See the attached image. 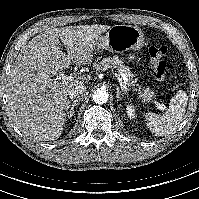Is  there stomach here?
<instances>
[{
	"mask_svg": "<svg viewBox=\"0 0 199 199\" xmlns=\"http://www.w3.org/2000/svg\"><path fill=\"white\" fill-rule=\"evenodd\" d=\"M144 46V35L138 26L114 25L106 35L95 40L96 49H105L112 53H124L140 50Z\"/></svg>",
	"mask_w": 199,
	"mask_h": 199,
	"instance_id": "obj_1",
	"label": "stomach"
}]
</instances>
